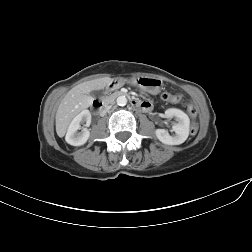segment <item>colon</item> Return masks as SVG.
<instances>
[{"label":"colon","instance_id":"5ec220e1","mask_svg":"<svg viewBox=\"0 0 252 252\" xmlns=\"http://www.w3.org/2000/svg\"><path fill=\"white\" fill-rule=\"evenodd\" d=\"M181 98H182L181 95H178V94L177 95H172L170 93H163L162 94V99L165 101L171 102V103H177L181 100ZM187 112L191 117L194 118L197 115L198 109L194 104L189 103L187 105ZM190 131L192 134L196 133V131H197V123L196 122L192 123Z\"/></svg>","mask_w":252,"mask_h":252}]
</instances>
